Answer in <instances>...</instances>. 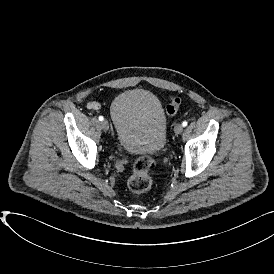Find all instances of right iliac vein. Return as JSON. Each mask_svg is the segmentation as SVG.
<instances>
[{
  "label": "right iliac vein",
  "instance_id": "obj_1",
  "mask_svg": "<svg viewBox=\"0 0 274 274\" xmlns=\"http://www.w3.org/2000/svg\"><path fill=\"white\" fill-rule=\"evenodd\" d=\"M101 127L104 131H107L109 129V122L107 120H103L101 122Z\"/></svg>",
  "mask_w": 274,
  "mask_h": 274
}]
</instances>
